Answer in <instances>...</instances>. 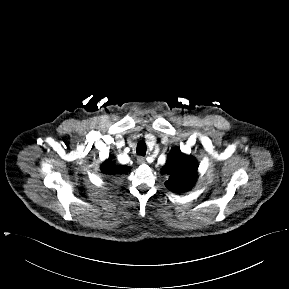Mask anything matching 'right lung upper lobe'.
Returning <instances> with one entry per match:
<instances>
[{"mask_svg": "<svg viewBox=\"0 0 289 289\" xmlns=\"http://www.w3.org/2000/svg\"><path fill=\"white\" fill-rule=\"evenodd\" d=\"M101 172L106 175H115L119 173H125L126 168L124 166H117L111 159H107L101 166Z\"/></svg>", "mask_w": 289, "mask_h": 289, "instance_id": "obj_1", "label": "right lung upper lobe"}]
</instances>
